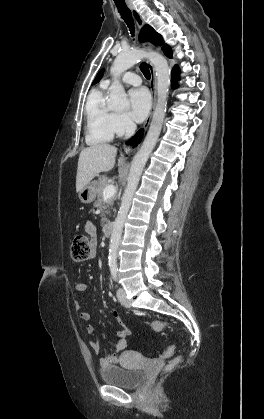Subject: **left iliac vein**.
<instances>
[{
	"instance_id": "left-iliac-vein-1",
	"label": "left iliac vein",
	"mask_w": 264,
	"mask_h": 419,
	"mask_svg": "<svg viewBox=\"0 0 264 419\" xmlns=\"http://www.w3.org/2000/svg\"><path fill=\"white\" fill-rule=\"evenodd\" d=\"M117 297H118L119 302L123 306L130 307V304H129V302L127 300V297H126V292H125V290L123 288H119L118 289V291H117Z\"/></svg>"
}]
</instances>
